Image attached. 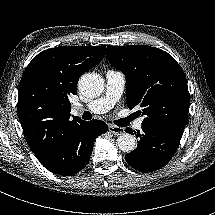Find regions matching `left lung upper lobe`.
Returning a JSON list of instances; mask_svg holds the SVG:
<instances>
[{"instance_id": "1", "label": "left lung upper lobe", "mask_w": 215, "mask_h": 215, "mask_svg": "<svg viewBox=\"0 0 215 215\" xmlns=\"http://www.w3.org/2000/svg\"><path fill=\"white\" fill-rule=\"evenodd\" d=\"M107 58L126 77L127 106L142 107V125L188 122L190 96L185 74L167 52L147 46H107Z\"/></svg>"}]
</instances>
